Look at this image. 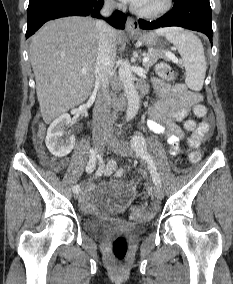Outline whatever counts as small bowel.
<instances>
[{
    "mask_svg": "<svg viewBox=\"0 0 233 284\" xmlns=\"http://www.w3.org/2000/svg\"><path fill=\"white\" fill-rule=\"evenodd\" d=\"M154 86L161 95V100L150 112L151 119L148 121V128L164 136L171 147V154L176 155L179 150L178 145L184 138V133L177 123L186 118L192 106L200 104L201 95L189 91L183 84L170 85L162 81H155ZM210 128V119L205 118L191 131L192 135L188 139V145L190 147L199 146L207 138ZM47 163L55 170H62L66 166L65 160L56 158L48 159ZM82 206L89 208L90 202L84 198Z\"/></svg>",
    "mask_w": 233,
    "mask_h": 284,
    "instance_id": "c3829d8e",
    "label": "small bowel"
}]
</instances>
